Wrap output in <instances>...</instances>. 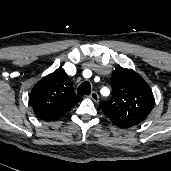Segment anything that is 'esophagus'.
Returning <instances> with one entry per match:
<instances>
[{
    "label": "esophagus",
    "instance_id": "esophagus-1",
    "mask_svg": "<svg viewBox=\"0 0 171 171\" xmlns=\"http://www.w3.org/2000/svg\"><path fill=\"white\" fill-rule=\"evenodd\" d=\"M89 97L94 101V102H96V103H98V101H99V95H98V93L97 92H92L90 95H89Z\"/></svg>",
    "mask_w": 171,
    "mask_h": 171
}]
</instances>
